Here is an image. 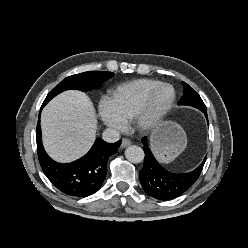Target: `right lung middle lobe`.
<instances>
[{
  "instance_id": "1",
  "label": "right lung middle lobe",
  "mask_w": 248,
  "mask_h": 248,
  "mask_svg": "<svg viewBox=\"0 0 248 248\" xmlns=\"http://www.w3.org/2000/svg\"><path fill=\"white\" fill-rule=\"evenodd\" d=\"M112 76V72L106 71H88L69 76L62 80L53 90H51L44 100V103L47 104L54 96L65 90L77 89L81 91H88L95 89Z\"/></svg>"
}]
</instances>
